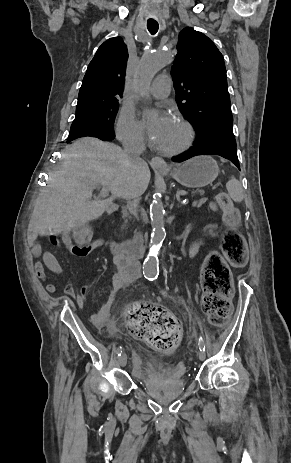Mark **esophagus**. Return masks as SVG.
Here are the masks:
<instances>
[{"label": "esophagus", "mask_w": 291, "mask_h": 463, "mask_svg": "<svg viewBox=\"0 0 291 463\" xmlns=\"http://www.w3.org/2000/svg\"><path fill=\"white\" fill-rule=\"evenodd\" d=\"M151 163L156 167H166V162L158 156L153 157Z\"/></svg>", "instance_id": "obj_1"}]
</instances>
